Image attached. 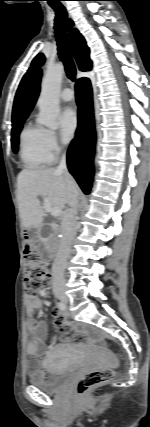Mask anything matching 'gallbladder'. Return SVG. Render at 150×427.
Returning <instances> with one entry per match:
<instances>
[{"label": "gallbladder", "mask_w": 150, "mask_h": 427, "mask_svg": "<svg viewBox=\"0 0 150 427\" xmlns=\"http://www.w3.org/2000/svg\"><path fill=\"white\" fill-rule=\"evenodd\" d=\"M39 251L42 253L44 258H47V253H46V250L44 248L40 247Z\"/></svg>", "instance_id": "obj_1"}]
</instances>
